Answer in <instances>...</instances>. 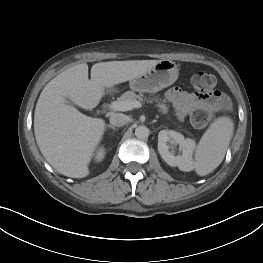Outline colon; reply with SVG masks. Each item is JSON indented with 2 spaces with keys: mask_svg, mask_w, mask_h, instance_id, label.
Masks as SVG:
<instances>
[{
  "mask_svg": "<svg viewBox=\"0 0 263 263\" xmlns=\"http://www.w3.org/2000/svg\"><path fill=\"white\" fill-rule=\"evenodd\" d=\"M192 87L195 93L201 97H211L215 91L216 77L209 71H197L191 77ZM213 108L199 107L196 108L190 115V122L196 128L207 127L213 118Z\"/></svg>",
  "mask_w": 263,
  "mask_h": 263,
  "instance_id": "5ec220e1",
  "label": "colon"
}]
</instances>
